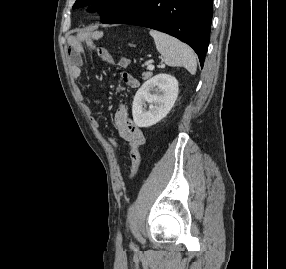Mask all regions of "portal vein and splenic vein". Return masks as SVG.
Segmentation results:
<instances>
[{"mask_svg": "<svg viewBox=\"0 0 286 269\" xmlns=\"http://www.w3.org/2000/svg\"><path fill=\"white\" fill-rule=\"evenodd\" d=\"M148 69H149V70H154V65L149 64V65H148Z\"/></svg>", "mask_w": 286, "mask_h": 269, "instance_id": "portal-vein-and-splenic-vein-1", "label": "portal vein and splenic vein"}]
</instances>
